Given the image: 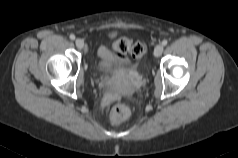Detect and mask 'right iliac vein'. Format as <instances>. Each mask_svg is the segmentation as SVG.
Returning a JSON list of instances; mask_svg holds the SVG:
<instances>
[{
    "label": "right iliac vein",
    "mask_w": 238,
    "mask_h": 158,
    "mask_svg": "<svg viewBox=\"0 0 238 158\" xmlns=\"http://www.w3.org/2000/svg\"><path fill=\"white\" fill-rule=\"evenodd\" d=\"M75 44H76L77 48H79V49H82L84 47V41L80 38H77L75 40Z\"/></svg>",
    "instance_id": "obj_1"
}]
</instances>
